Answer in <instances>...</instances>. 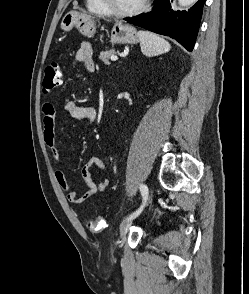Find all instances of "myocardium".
<instances>
[{"label": "myocardium", "mask_w": 249, "mask_h": 294, "mask_svg": "<svg viewBox=\"0 0 249 294\" xmlns=\"http://www.w3.org/2000/svg\"><path fill=\"white\" fill-rule=\"evenodd\" d=\"M103 7L107 10L108 15L125 18V17H132L138 15L145 11L149 5L150 0H143L139 6L134 9L127 10V11H120L115 9L109 0H100Z\"/></svg>", "instance_id": "f54148a6"}]
</instances>
